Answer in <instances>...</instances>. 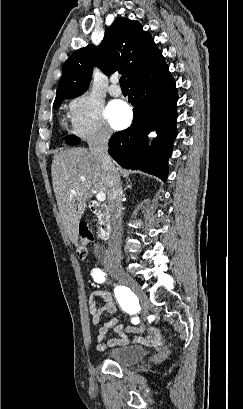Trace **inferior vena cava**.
Here are the masks:
<instances>
[{
	"instance_id": "obj_1",
	"label": "inferior vena cava",
	"mask_w": 243,
	"mask_h": 409,
	"mask_svg": "<svg viewBox=\"0 0 243 409\" xmlns=\"http://www.w3.org/2000/svg\"><path fill=\"white\" fill-rule=\"evenodd\" d=\"M110 132L101 129L88 141L91 154L99 158L102 167L106 171V181L108 185V210L110 216V239L107 253V267L110 269L121 268V207H122V187L120 176L108 154V142Z\"/></svg>"
}]
</instances>
